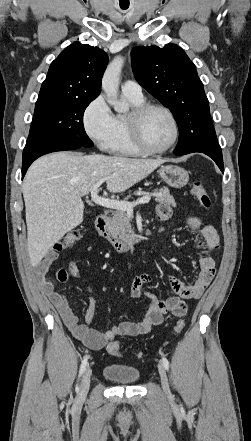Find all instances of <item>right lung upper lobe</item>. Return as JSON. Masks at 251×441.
<instances>
[{
  "label": "right lung upper lobe",
  "mask_w": 251,
  "mask_h": 441,
  "mask_svg": "<svg viewBox=\"0 0 251 441\" xmlns=\"http://www.w3.org/2000/svg\"><path fill=\"white\" fill-rule=\"evenodd\" d=\"M107 64L102 49L72 43L51 63L37 101L96 98Z\"/></svg>",
  "instance_id": "cb5924a9"
}]
</instances>
